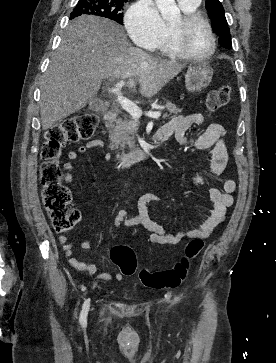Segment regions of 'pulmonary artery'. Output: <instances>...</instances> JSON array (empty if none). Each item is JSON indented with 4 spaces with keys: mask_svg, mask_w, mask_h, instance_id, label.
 Wrapping results in <instances>:
<instances>
[{
    "mask_svg": "<svg viewBox=\"0 0 276 363\" xmlns=\"http://www.w3.org/2000/svg\"><path fill=\"white\" fill-rule=\"evenodd\" d=\"M177 1L179 2L180 5L188 7L197 6L198 3L200 2V0H177Z\"/></svg>",
    "mask_w": 276,
    "mask_h": 363,
    "instance_id": "obj_1",
    "label": "pulmonary artery"
}]
</instances>
